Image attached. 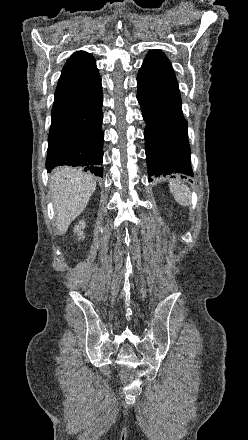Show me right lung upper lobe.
<instances>
[{
	"label": "right lung upper lobe",
	"instance_id": "obj_1",
	"mask_svg": "<svg viewBox=\"0 0 248 440\" xmlns=\"http://www.w3.org/2000/svg\"><path fill=\"white\" fill-rule=\"evenodd\" d=\"M100 77L90 53L75 52L63 67L55 95L86 88Z\"/></svg>",
	"mask_w": 248,
	"mask_h": 440
}]
</instances>
